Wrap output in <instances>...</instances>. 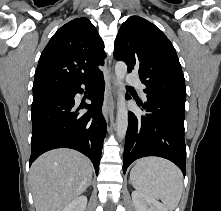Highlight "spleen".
<instances>
[{"instance_id":"3e777b00","label":"spleen","mask_w":221,"mask_h":211,"mask_svg":"<svg viewBox=\"0 0 221 211\" xmlns=\"http://www.w3.org/2000/svg\"><path fill=\"white\" fill-rule=\"evenodd\" d=\"M133 187L151 198L160 199L173 211L183 191V175L168 160L146 157L138 160L130 172Z\"/></svg>"}]
</instances>
